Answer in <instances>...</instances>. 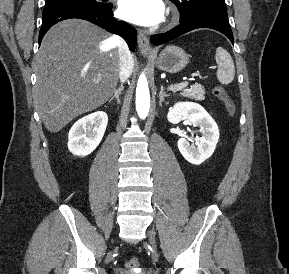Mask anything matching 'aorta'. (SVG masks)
<instances>
[{
    "mask_svg": "<svg viewBox=\"0 0 289 274\" xmlns=\"http://www.w3.org/2000/svg\"><path fill=\"white\" fill-rule=\"evenodd\" d=\"M150 109V92L148 82L144 73H142L137 82L136 88V111L138 116L145 119Z\"/></svg>",
    "mask_w": 289,
    "mask_h": 274,
    "instance_id": "obj_1",
    "label": "aorta"
}]
</instances>
